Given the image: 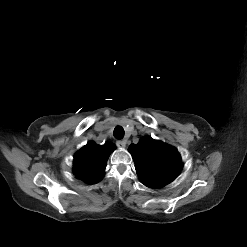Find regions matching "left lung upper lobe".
<instances>
[{
  "instance_id": "1",
  "label": "left lung upper lobe",
  "mask_w": 247,
  "mask_h": 247,
  "mask_svg": "<svg viewBox=\"0 0 247 247\" xmlns=\"http://www.w3.org/2000/svg\"><path fill=\"white\" fill-rule=\"evenodd\" d=\"M128 150L140 181L148 187L161 188L172 182L182 170L183 163L177 149L151 137H142Z\"/></svg>"
}]
</instances>
